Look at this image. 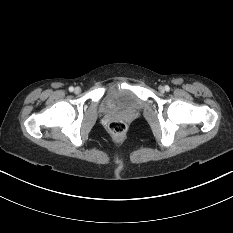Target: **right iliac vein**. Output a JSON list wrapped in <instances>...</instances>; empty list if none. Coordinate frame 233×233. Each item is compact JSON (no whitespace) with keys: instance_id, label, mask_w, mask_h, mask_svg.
Segmentation results:
<instances>
[{"instance_id":"obj_1","label":"right iliac vein","mask_w":233,"mask_h":233,"mask_svg":"<svg viewBox=\"0 0 233 233\" xmlns=\"http://www.w3.org/2000/svg\"><path fill=\"white\" fill-rule=\"evenodd\" d=\"M74 92H75L76 94H79V93L81 92L80 87H76L75 90H74Z\"/></svg>"}]
</instances>
